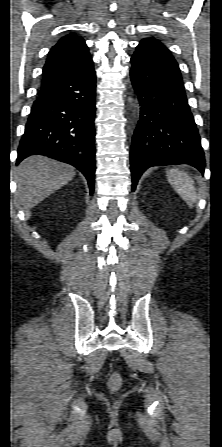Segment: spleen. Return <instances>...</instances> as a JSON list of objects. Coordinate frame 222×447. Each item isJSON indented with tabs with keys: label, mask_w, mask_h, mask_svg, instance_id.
Masks as SVG:
<instances>
[{
	"label": "spleen",
	"mask_w": 222,
	"mask_h": 447,
	"mask_svg": "<svg viewBox=\"0 0 222 447\" xmlns=\"http://www.w3.org/2000/svg\"><path fill=\"white\" fill-rule=\"evenodd\" d=\"M167 177L169 183L181 198L188 204V206L193 207L197 197L196 188L192 178L186 173L174 168L167 172Z\"/></svg>",
	"instance_id": "obj_1"
}]
</instances>
